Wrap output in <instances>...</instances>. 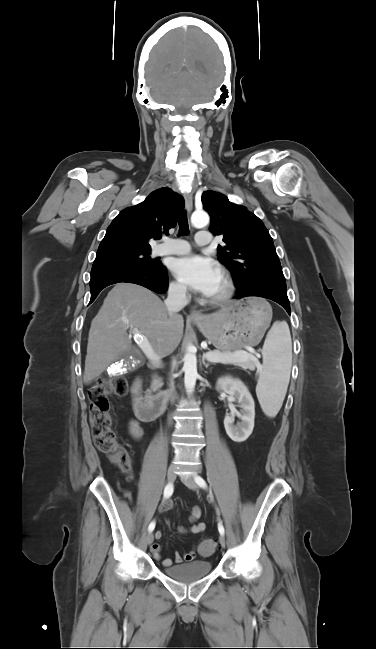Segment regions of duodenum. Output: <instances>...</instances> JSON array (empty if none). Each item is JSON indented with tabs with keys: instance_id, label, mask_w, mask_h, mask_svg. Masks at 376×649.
Returning a JSON list of instances; mask_svg holds the SVG:
<instances>
[{
	"instance_id": "410a0bca",
	"label": "duodenum",
	"mask_w": 376,
	"mask_h": 649,
	"mask_svg": "<svg viewBox=\"0 0 376 649\" xmlns=\"http://www.w3.org/2000/svg\"><path fill=\"white\" fill-rule=\"evenodd\" d=\"M130 394L135 416L142 421H151L158 417L169 399L167 393L145 398L142 395V379L139 377L134 380Z\"/></svg>"
}]
</instances>
